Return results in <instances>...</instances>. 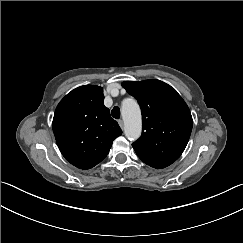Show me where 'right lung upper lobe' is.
I'll use <instances>...</instances> for the list:
<instances>
[{"instance_id":"obj_1","label":"right lung upper lobe","mask_w":243,"mask_h":243,"mask_svg":"<svg viewBox=\"0 0 243 243\" xmlns=\"http://www.w3.org/2000/svg\"><path fill=\"white\" fill-rule=\"evenodd\" d=\"M102 87L85 85L68 93L58 104L53 132L62 155L80 169H90L109 153L122 134L103 104Z\"/></svg>"}]
</instances>
